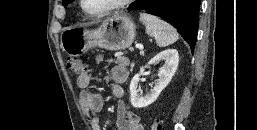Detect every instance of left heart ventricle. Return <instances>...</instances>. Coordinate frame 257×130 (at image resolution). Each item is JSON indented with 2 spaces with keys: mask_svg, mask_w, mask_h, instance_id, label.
<instances>
[{
  "mask_svg": "<svg viewBox=\"0 0 257 130\" xmlns=\"http://www.w3.org/2000/svg\"><path fill=\"white\" fill-rule=\"evenodd\" d=\"M118 0H84V5L89 12L97 13L108 8Z\"/></svg>",
  "mask_w": 257,
  "mask_h": 130,
  "instance_id": "obj_1",
  "label": "left heart ventricle"
}]
</instances>
